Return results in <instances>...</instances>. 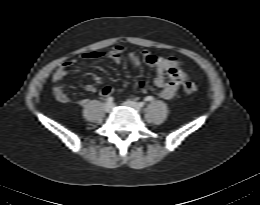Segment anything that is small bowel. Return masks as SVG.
Here are the masks:
<instances>
[{
    "instance_id": "1",
    "label": "small bowel",
    "mask_w": 260,
    "mask_h": 205,
    "mask_svg": "<svg viewBox=\"0 0 260 205\" xmlns=\"http://www.w3.org/2000/svg\"><path fill=\"white\" fill-rule=\"evenodd\" d=\"M125 51V46L119 44L106 54L101 52H90L85 54L80 61L67 60L63 62L52 77V92L55 99L60 103L69 102V96L64 90V83L72 66L78 64L82 67L86 61L103 56L119 63ZM141 58L155 71L154 84L159 88L161 97L166 100L172 99L176 95L180 85L187 79V75L179 66L176 58L173 56H156L147 50H144L141 53V56H139L136 52H130L128 56L129 63L132 67H138L141 63ZM139 88L143 93H145L147 91V83L145 81H141L139 83ZM85 89L91 93L96 92L97 90L96 86L93 84H87ZM112 93V88L108 86L101 89V94L104 97H109ZM84 102L85 101L82 100L81 104Z\"/></svg>"
}]
</instances>
